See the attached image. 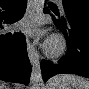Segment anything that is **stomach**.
<instances>
[{
	"label": "stomach",
	"instance_id": "obj_1",
	"mask_svg": "<svg viewBox=\"0 0 89 89\" xmlns=\"http://www.w3.org/2000/svg\"><path fill=\"white\" fill-rule=\"evenodd\" d=\"M47 89H70V88L69 86L65 85L62 82H56L54 78L48 83Z\"/></svg>",
	"mask_w": 89,
	"mask_h": 89
}]
</instances>
